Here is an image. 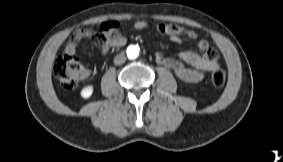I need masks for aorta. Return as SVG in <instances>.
Here are the masks:
<instances>
[{
	"label": "aorta",
	"instance_id": "aorta-1",
	"mask_svg": "<svg viewBox=\"0 0 283 162\" xmlns=\"http://www.w3.org/2000/svg\"><path fill=\"white\" fill-rule=\"evenodd\" d=\"M127 55L129 59H135L139 55V47L137 46H129L127 48Z\"/></svg>",
	"mask_w": 283,
	"mask_h": 162
}]
</instances>
